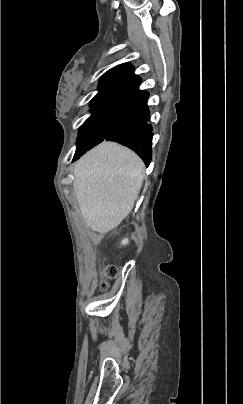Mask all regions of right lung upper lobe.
I'll return each instance as SVG.
<instances>
[{
	"instance_id": "1",
	"label": "right lung upper lobe",
	"mask_w": 243,
	"mask_h": 404,
	"mask_svg": "<svg viewBox=\"0 0 243 404\" xmlns=\"http://www.w3.org/2000/svg\"><path fill=\"white\" fill-rule=\"evenodd\" d=\"M133 72V67L128 63L118 65L107 71L101 77L99 92L91 100V106L105 103L128 105L148 96V92L138 90L140 79Z\"/></svg>"
}]
</instances>
